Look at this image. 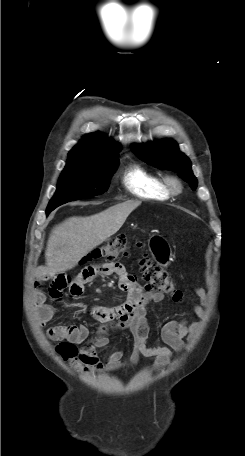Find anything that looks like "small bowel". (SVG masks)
Wrapping results in <instances>:
<instances>
[{
	"mask_svg": "<svg viewBox=\"0 0 245 456\" xmlns=\"http://www.w3.org/2000/svg\"><path fill=\"white\" fill-rule=\"evenodd\" d=\"M115 275L119 280V288L127 292L124 302L114 307L94 306L93 317L103 325L90 336L88 329L83 325H58L48 329L47 335L53 341L66 340L72 344H84L79 349L80 360L96 370H114L122 366L121 351L109 352L104 361L98 357L97 349H106L110 335L117 330H129L133 337V349L130 364L138 363L140 357L154 358V367L159 369L169 363L172 351L181 352L185 348L184 339H191L197 330L198 322H189L186 319L171 320L165 323L160 331L162 342L166 346L148 347L146 342L149 326L146 319V306L151 302H161L164 295L161 292L143 289L137 278L127 273L123 264L107 262L84 267L80 273L70 279L62 272L49 274L34 284L35 315L40 325L46 324L55 314V308L46 302L47 294L44 291V282L51 279L48 294L54 299L61 296L65 288H69L73 296L82 294L84 285L92 282L98 276ZM194 293L199 302L192 306L194 313L200 319L205 317V308L208 296L204 288L195 287Z\"/></svg>",
	"mask_w": 245,
	"mask_h": 456,
	"instance_id": "small-bowel-1",
	"label": "small bowel"
}]
</instances>
